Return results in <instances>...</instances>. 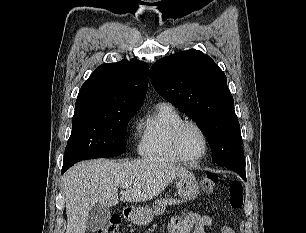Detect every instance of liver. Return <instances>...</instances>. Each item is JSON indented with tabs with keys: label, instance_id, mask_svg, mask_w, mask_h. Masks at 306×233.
I'll use <instances>...</instances> for the list:
<instances>
[{
	"label": "liver",
	"instance_id": "obj_1",
	"mask_svg": "<svg viewBox=\"0 0 306 233\" xmlns=\"http://www.w3.org/2000/svg\"><path fill=\"white\" fill-rule=\"evenodd\" d=\"M190 174L161 158L132 161L87 160L72 166L62 179L65 195L66 233H85L87 214L97 203L113 207L119 202L118 187L129 184L120 200L144 202L158 196L177 177Z\"/></svg>",
	"mask_w": 306,
	"mask_h": 233
}]
</instances>
